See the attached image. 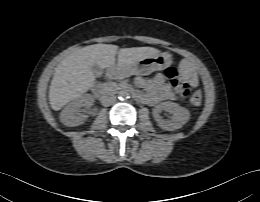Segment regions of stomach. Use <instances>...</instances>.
<instances>
[{
  "mask_svg": "<svg viewBox=\"0 0 260 202\" xmlns=\"http://www.w3.org/2000/svg\"><path fill=\"white\" fill-rule=\"evenodd\" d=\"M172 62L170 54L161 53L145 57L138 62L128 66H113L112 71L120 78L129 77L133 74H149L156 70H162L168 67Z\"/></svg>",
  "mask_w": 260,
  "mask_h": 202,
  "instance_id": "stomach-1",
  "label": "stomach"
}]
</instances>
